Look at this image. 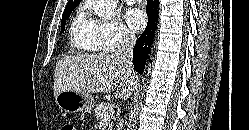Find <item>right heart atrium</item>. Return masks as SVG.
<instances>
[{"instance_id": "right-heart-atrium-1", "label": "right heart atrium", "mask_w": 249, "mask_h": 130, "mask_svg": "<svg viewBox=\"0 0 249 130\" xmlns=\"http://www.w3.org/2000/svg\"><path fill=\"white\" fill-rule=\"evenodd\" d=\"M103 50L116 52L131 46L135 40L130 31L119 20L98 22Z\"/></svg>"}]
</instances>
